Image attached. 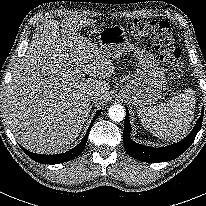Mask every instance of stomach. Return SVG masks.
I'll return each instance as SVG.
<instances>
[{
    "instance_id": "stomach-1",
    "label": "stomach",
    "mask_w": 206,
    "mask_h": 206,
    "mask_svg": "<svg viewBox=\"0 0 206 206\" xmlns=\"http://www.w3.org/2000/svg\"><path fill=\"white\" fill-rule=\"evenodd\" d=\"M99 46L112 58H118L132 51L138 59V68L122 90L121 95L128 100L138 113L154 104L167 84L164 70L158 59L145 48L131 44L125 29L119 25L103 28L98 36Z\"/></svg>"
}]
</instances>
